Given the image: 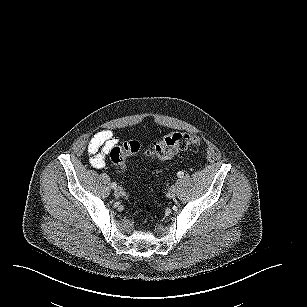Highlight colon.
Instances as JSON below:
<instances>
[{
	"instance_id": "colon-1",
	"label": "colon",
	"mask_w": 307,
	"mask_h": 307,
	"mask_svg": "<svg viewBox=\"0 0 307 307\" xmlns=\"http://www.w3.org/2000/svg\"><path fill=\"white\" fill-rule=\"evenodd\" d=\"M201 143L199 136L185 132H173L152 147L143 149L138 141L131 140L119 146H114L109 157L111 162L119 171H124L126 168L125 161L129 156L146 155L157 160H168L177 155L180 151L186 150L192 146H197ZM153 206L146 204L144 212L146 215L153 213Z\"/></svg>"
}]
</instances>
